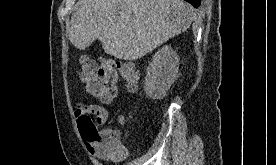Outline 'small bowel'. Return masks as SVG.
I'll return each mask as SVG.
<instances>
[{
	"mask_svg": "<svg viewBox=\"0 0 276 165\" xmlns=\"http://www.w3.org/2000/svg\"><path fill=\"white\" fill-rule=\"evenodd\" d=\"M74 115H75L77 121H79L80 118L83 116L94 115L95 120L100 125L104 124L108 118L107 110L104 107H102L98 104H93V103L79 104L74 111ZM110 132H112L115 135V137L119 143V146L121 149L120 154H116V153L109 151L103 144H96V145H92V146L87 145V148L92 154H94L95 156H97L98 158H100L102 160L122 159L126 155V149L124 148V146L121 144V142L119 140L120 131L114 130V131H110Z\"/></svg>",
	"mask_w": 276,
	"mask_h": 165,
	"instance_id": "obj_1",
	"label": "small bowel"
}]
</instances>
